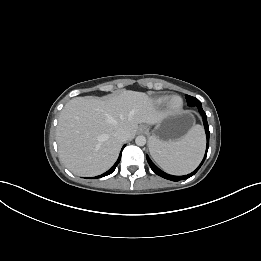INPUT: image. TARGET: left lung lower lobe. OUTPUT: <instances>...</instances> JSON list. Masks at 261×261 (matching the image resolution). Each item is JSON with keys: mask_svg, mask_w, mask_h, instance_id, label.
I'll return each mask as SVG.
<instances>
[{"mask_svg": "<svg viewBox=\"0 0 261 261\" xmlns=\"http://www.w3.org/2000/svg\"><path fill=\"white\" fill-rule=\"evenodd\" d=\"M198 110L200 112V114L202 115V118H203V123H204V128H205V132H206V138H207V147H206V152H205V156L201 162V164L197 167V169L195 171H193L192 173L188 174V175H184V176H174V175H170V174H167L165 172H163L162 170H160L148 157H147V161L151 167V169L153 170L154 173H156L157 175L165 178V179H168V180H171V181H180V180H184V179H187L191 176H193L201 167V165L203 164V162L205 161V158L207 156V151H208V148H209V126H208V122H207V116L204 112V110L202 109V107H198Z\"/></svg>", "mask_w": 261, "mask_h": 261, "instance_id": "0a47b994", "label": "left lung lower lobe"}]
</instances>
